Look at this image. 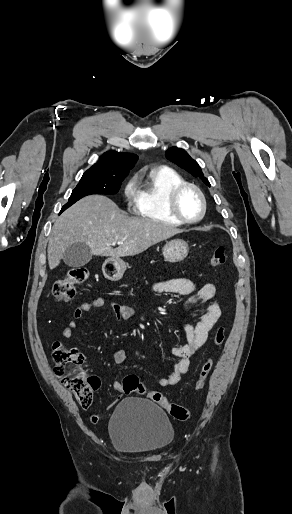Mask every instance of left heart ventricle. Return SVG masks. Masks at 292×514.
Returning a JSON list of instances; mask_svg holds the SVG:
<instances>
[{"mask_svg":"<svg viewBox=\"0 0 292 514\" xmlns=\"http://www.w3.org/2000/svg\"><path fill=\"white\" fill-rule=\"evenodd\" d=\"M177 207L180 214L186 219L197 218L200 213V201L197 194L191 189L183 190L178 196Z\"/></svg>","mask_w":292,"mask_h":514,"instance_id":"obj_1","label":"left heart ventricle"}]
</instances>
